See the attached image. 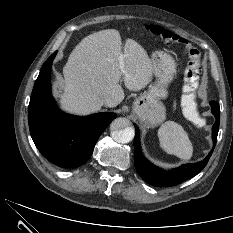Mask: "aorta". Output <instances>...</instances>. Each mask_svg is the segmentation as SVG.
Returning <instances> with one entry per match:
<instances>
[{"mask_svg":"<svg viewBox=\"0 0 233 233\" xmlns=\"http://www.w3.org/2000/svg\"><path fill=\"white\" fill-rule=\"evenodd\" d=\"M111 136L118 143L130 142L135 134L134 129L130 126V121L126 118H116L110 125Z\"/></svg>","mask_w":233,"mask_h":233,"instance_id":"obj_1","label":"aorta"}]
</instances>
